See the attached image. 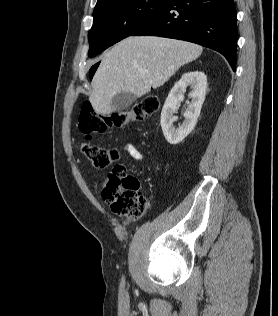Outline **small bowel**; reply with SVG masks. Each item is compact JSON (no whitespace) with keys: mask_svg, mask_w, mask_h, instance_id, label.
Wrapping results in <instances>:
<instances>
[{"mask_svg":"<svg viewBox=\"0 0 278 316\" xmlns=\"http://www.w3.org/2000/svg\"><path fill=\"white\" fill-rule=\"evenodd\" d=\"M123 151L127 152L135 161H141L144 157L141 151L131 143L125 144L123 146Z\"/></svg>","mask_w":278,"mask_h":316,"instance_id":"obj_1","label":"small bowel"}]
</instances>
